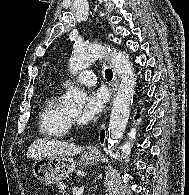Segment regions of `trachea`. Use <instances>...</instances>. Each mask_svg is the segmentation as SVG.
<instances>
[{"label":"trachea","instance_id":"1","mask_svg":"<svg viewBox=\"0 0 189 195\" xmlns=\"http://www.w3.org/2000/svg\"><path fill=\"white\" fill-rule=\"evenodd\" d=\"M105 78L108 79V80L113 78V72H112L111 69L108 68V69L105 70Z\"/></svg>","mask_w":189,"mask_h":195}]
</instances>
